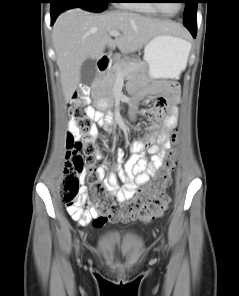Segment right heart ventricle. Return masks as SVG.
Wrapping results in <instances>:
<instances>
[{
  "mask_svg": "<svg viewBox=\"0 0 239 296\" xmlns=\"http://www.w3.org/2000/svg\"><path fill=\"white\" fill-rule=\"evenodd\" d=\"M121 7L138 10L143 13L156 15L158 11L149 3V0H125L119 4Z\"/></svg>",
  "mask_w": 239,
  "mask_h": 296,
  "instance_id": "1",
  "label": "right heart ventricle"
}]
</instances>
